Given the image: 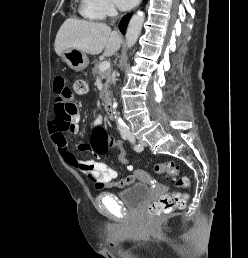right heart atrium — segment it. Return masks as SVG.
<instances>
[{
    "mask_svg": "<svg viewBox=\"0 0 248 258\" xmlns=\"http://www.w3.org/2000/svg\"><path fill=\"white\" fill-rule=\"evenodd\" d=\"M81 12L92 19H104L115 13L111 0H81Z\"/></svg>",
    "mask_w": 248,
    "mask_h": 258,
    "instance_id": "1",
    "label": "right heart atrium"
}]
</instances>
